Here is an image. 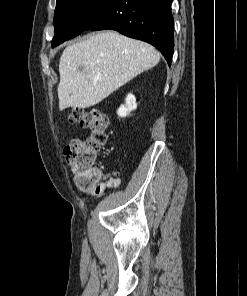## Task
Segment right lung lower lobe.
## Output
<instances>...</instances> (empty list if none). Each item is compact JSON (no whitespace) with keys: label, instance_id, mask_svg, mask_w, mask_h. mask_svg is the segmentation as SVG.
Listing matches in <instances>:
<instances>
[{"label":"right lung lower lobe","instance_id":"98d812e1","mask_svg":"<svg viewBox=\"0 0 247 296\" xmlns=\"http://www.w3.org/2000/svg\"><path fill=\"white\" fill-rule=\"evenodd\" d=\"M171 3L172 0H106L93 11L85 30L112 29L148 42L170 66L174 51Z\"/></svg>","mask_w":247,"mask_h":296}]
</instances>
